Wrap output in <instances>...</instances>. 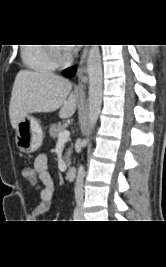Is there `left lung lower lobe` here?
I'll return each instance as SVG.
<instances>
[{"instance_id": "left-lung-lower-lobe-1", "label": "left lung lower lobe", "mask_w": 166, "mask_h": 267, "mask_svg": "<svg viewBox=\"0 0 166 267\" xmlns=\"http://www.w3.org/2000/svg\"><path fill=\"white\" fill-rule=\"evenodd\" d=\"M74 73H75V68L72 67V68H68V69H66V70L63 72V75H64V76H67V77H71V76L74 75Z\"/></svg>"}]
</instances>
